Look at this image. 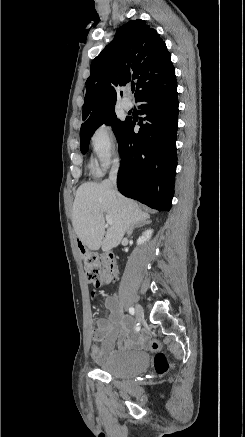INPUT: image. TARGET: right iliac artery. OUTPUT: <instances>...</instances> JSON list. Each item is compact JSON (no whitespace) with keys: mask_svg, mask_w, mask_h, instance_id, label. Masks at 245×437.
<instances>
[{"mask_svg":"<svg viewBox=\"0 0 245 437\" xmlns=\"http://www.w3.org/2000/svg\"><path fill=\"white\" fill-rule=\"evenodd\" d=\"M129 312H130L131 315H134V314H135V310H134V308H133V307H130V308H129Z\"/></svg>","mask_w":245,"mask_h":437,"instance_id":"right-iliac-artery-1","label":"right iliac artery"}]
</instances>
